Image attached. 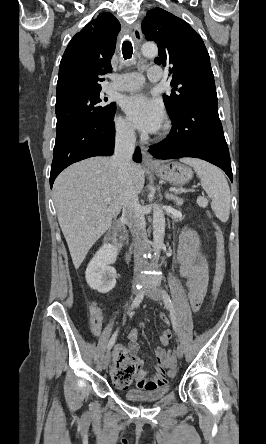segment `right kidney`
Returning a JSON list of instances; mask_svg holds the SVG:
<instances>
[{
    "mask_svg": "<svg viewBox=\"0 0 266 444\" xmlns=\"http://www.w3.org/2000/svg\"><path fill=\"white\" fill-rule=\"evenodd\" d=\"M117 248L104 244L94 255L85 272L87 284L100 293H108L116 284V270L110 266L116 261Z\"/></svg>",
    "mask_w": 266,
    "mask_h": 444,
    "instance_id": "ca27d5eb",
    "label": "right kidney"
}]
</instances>
